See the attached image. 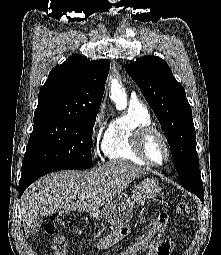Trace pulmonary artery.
Here are the masks:
<instances>
[{
	"label": "pulmonary artery",
	"mask_w": 221,
	"mask_h": 255,
	"mask_svg": "<svg viewBox=\"0 0 221 255\" xmlns=\"http://www.w3.org/2000/svg\"><path fill=\"white\" fill-rule=\"evenodd\" d=\"M132 100L133 101H138L137 95L135 93L132 94Z\"/></svg>",
	"instance_id": "e3ab8cb5"
}]
</instances>
